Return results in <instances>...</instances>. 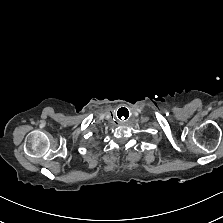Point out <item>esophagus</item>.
<instances>
[{
  "label": "esophagus",
  "instance_id": "obj_1",
  "mask_svg": "<svg viewBox=\"0 0 223 223\" xmlns=\"http://www.w3.org/2000/svg\"><path fill=\"white\" fill-rule=\"evenodd\" d=\"M115 118L118 122L120 123H125L129 120L130 118V113L127 109L125 108H120L116 111L115 113Z\"/></svg>",
  "mask_w": 223,
  "mask_h": 223
}]
</instances>
